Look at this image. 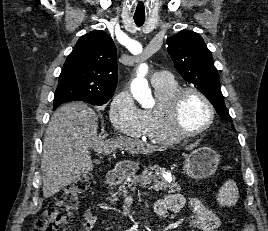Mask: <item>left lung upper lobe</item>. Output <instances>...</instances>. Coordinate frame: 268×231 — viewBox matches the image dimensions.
Segmentation results:
<instances>
[{
    "label": "left lung upper lobe",
    "mask_w": 268,
    "mask_h": 231,
    "mask_svg": "<svg viewBox=\"0 0 268 231\" xmlns=\"http://www.w3.org/2000/svg\"><path fill=\"white\" fill-rule=\"evenodd\" d=\"M167 45L168 52L182 77L209 99L222 118L232 122L224 104L218 71L202 37L193 31L182 30L168 38Z\"/></svg>",
    "instance_id": "obj_1"
}]
</instances>
